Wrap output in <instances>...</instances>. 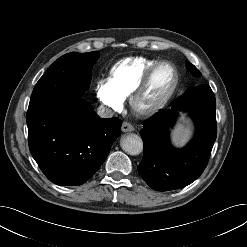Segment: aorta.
<instances>
[{"label": "aorta", "mask_w": 247, "mask_h": 247, "mask_svg": "<svg viewBox=\"0 0 247 247\" xmlns=\"http://www.w3.org/2000/svg\"><path fill=\"white\" fill-rule=\"evenodd\" d=\"M120 146L126 153L130 155H138L143 151V141L136 134H128L122 137Z\"/></svg>", "instance_id": "1"}]
</instances>
